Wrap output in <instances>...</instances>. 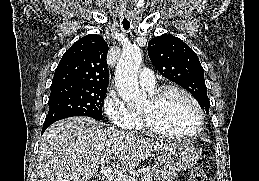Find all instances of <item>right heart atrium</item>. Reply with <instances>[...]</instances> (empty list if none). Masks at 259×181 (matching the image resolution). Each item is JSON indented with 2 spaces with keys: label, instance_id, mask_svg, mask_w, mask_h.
Here are the masks:
<instances>
[{
  "label": "right heart atrium",
  "instance_id": "1",
  "mask_svg": "<svg viewBox=\"0 0 259 181\" xmlns=\"http://www.w3.org/2000/svg\"><path fill=\"white\" fill-rule=\"evenodd\" d=\"M106 116L114 128L131 130L135 121V113L131 111L121 96L110 91L103 103Z\"/></svg>",
  "mask_w": 259,
  "mask_h": 181
}]
</instances>
